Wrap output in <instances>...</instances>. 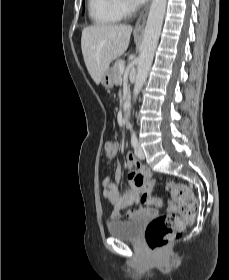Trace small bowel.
<instances>
[{
	"label": "small bowel",
	"instance_id": "small-bowel-1",
	"mask_svg": "<svg viewBox=\"0 0 229 280\" xmlns=\"http://www.w3.org/2000/svg\"><path fill=\"white\" fill-rule=\"evenodd\" d=\"M133 166H136L141 173H144L145 170L142 162L134 154L128 153L126 155V167L130 169ZM122 174V168L117 164L114 174L115 182L109 177L103 181V195L113 207L111 218H121L123 216L122 211L132 205H136L138 208L128 211L125 214L127 218H151L156 215L157 208L160 205L154 206L151 204V201L154 199L151 195L153 184L147 182L142 185H137L134 182V178L139 173L130 171L128 172L129 184L123 189L121 186Z\"/></svg>",
	"mask_w": 229,
	"mask_h": 280
}]
</instances>
